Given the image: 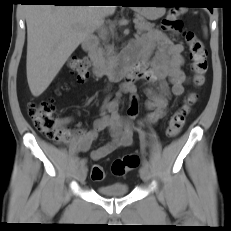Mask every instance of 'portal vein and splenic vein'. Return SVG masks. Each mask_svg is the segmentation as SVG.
Segmentation results:
<instances>
[{
	"label": "portal vein and splenic vein",
	"instance_id": "obj_1",
	"mask_svg": "<svg viewBox=\"0 0 231 231\" xmlns=\"http://www.w3.org/2000/svg\"><path fill=\"white\" fill-rule=\"evenodd\" d=\"M135 25L138 23V20H134Z\"/></svg>",
	"mask_w": 231,
	"mask_h": 231
}]
</instances>
